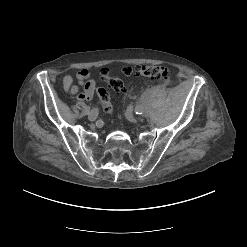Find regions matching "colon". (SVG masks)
I'll use <instances>...</instances> for the list:
<instances>
[{
    "instance_id": "obj_1",
    "label": "colon",
    "mask_w": 247,
    "mask_h": 247,
    "mask_svg": "<svg viewBox=\"0 0 247 247\" xmlns=\"http://www.w3.org/2000/svg\"><path fill=\"white\" fill-rule=\"evenodd\" d=\"M126 75H136L145 77L154 82L168 83L171 79L170 71L165 66H154V65H139V66H128L124 68ZM102 79L116 92H125L126 86L124 82L110 74L107 68L101 72ZM99 100L101 102L104 111L111 113L113 111L110 96L107 90L100 88L97 91Z\"/></svg>"
}]
</instances>
